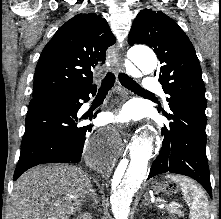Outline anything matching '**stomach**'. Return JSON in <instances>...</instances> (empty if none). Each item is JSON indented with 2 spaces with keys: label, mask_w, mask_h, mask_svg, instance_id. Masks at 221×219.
I'll list each match as a JSON object with an SVG mask.
<instances>
[{
  "label": "stomach",
  "mask_w": 221,
  "mask_h": 219,
  "mask_svg": "<svg viewBox=\"0 0 221 219\" xmlns=\"http://www.w3.org/2000/svg\"><path fill=\"white\" fill-rule=\"evenodd\" d=\"M164 187H165V184H161V183H158V182H156L155 185H154L155 190H161Z\"/></svg>",
  "instance_id": "1"
}]
</instances>
